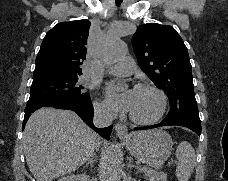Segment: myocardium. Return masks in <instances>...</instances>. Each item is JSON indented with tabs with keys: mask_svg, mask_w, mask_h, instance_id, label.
Segmentation results:
<instances>
[{
	"mask_svg": "<svg viewBox=\"0 0 228 181\" xmlns=\"http://www.w3.org/2000/svg\"><path fill=\"white\" fill-rule=\"evenodd\" d=\"M133 89H139V88H148L156 92V94L159 97V106L156 110V112L148 118H139L135 116L133 113H130L129 117L132 121L138 124L142 125H149L154 122H156L164 113L167 105V97L165 93L156 85L149 83V82H137L132 85Z\"/></svg>",
	"mask_w": 228,
	"mask_h": 181,
	"instance_id": "obj_1",
	"label": "myocardium"
}]
</instances>
